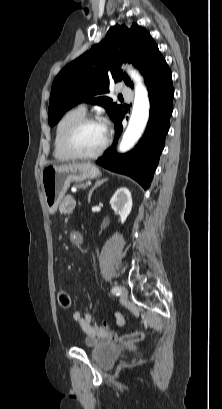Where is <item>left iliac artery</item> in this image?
<instances>
[{"mask_svg":"<svg viewBox=\"0 0 222 409\" xmlns=\"http://www.w3.org/2000/svg\"><path fill=\"white\" fill-rule=\"evenodd\" d=\"M111 292H112L113 294L119 295L120 292H121V289H120V287L115 286V287L112 288Z\"/></svg>","mask_w":222,"mask_h":409,"instance_id":"44dca946","label":"left iliac artery"}]
</instances>
